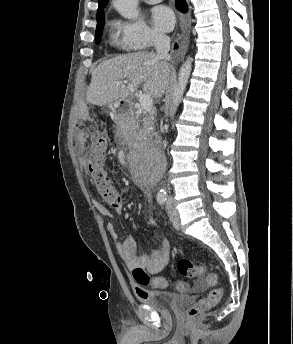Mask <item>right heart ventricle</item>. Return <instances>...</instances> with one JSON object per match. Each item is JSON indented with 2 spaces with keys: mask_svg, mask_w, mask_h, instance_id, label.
<instances>
[{
  "mask_svg": "<svg viewBox=\"0 0 293 344\" xmlns=\"http://www.w3.org/2000/svg\"><path fill=\"white\" fill-rule=\"evenodd\" d=\"M112 38L114 39V37L112 36ZM116 42H118L117 40H115ZM119 43V42H118Z\"/></svg>",
  "mask_w": 293,
  "mask_h": 344,
  "instance_id": "obj_1",
  "label": "right heart ventricle"
}]
</instances>
